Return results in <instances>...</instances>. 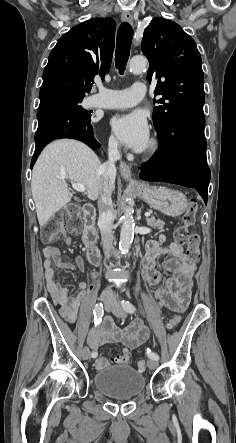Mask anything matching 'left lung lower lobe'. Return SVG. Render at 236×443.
Here are the masks:
<instances>
[{
    "label": "left lung lower lobe",
    "mask_w": 236,
    "mask_h": 443,
    "mask_svg": "<svg viewBox=\"0 0 236 443\" xmlns=\"http://www.w3.org/2000/svg\"><path fill=\"white\" fill-rule=\"evenodd\" d=\"M204 126L203 109L187 108L171 116L157 131L160 149L140 168V178L195 188L207 204L210 169Z\"/></svg>",
    "instance_id": "0a47b994"
}]
</instances>
